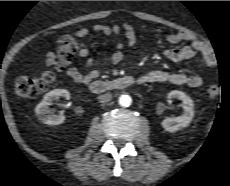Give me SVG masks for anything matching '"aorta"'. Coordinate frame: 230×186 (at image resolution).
<instances>
[{"label": "aorta", "mask_w": 230, "mask_h": 186, "mask_svg": "<svg viewBox=\"0 0 230 186\" xmlns=\"http://www.w3.org/2000/svg\"><path fill=\"white\" fill-rule=\"evenodd\" d=\"M118 102L123 107H129L132 103V98L127 94H123L119 97Z\"/></svg>", "instance_id": "762f6f07"}]
</instances>
